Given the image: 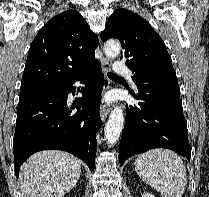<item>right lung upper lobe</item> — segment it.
<instances>
[{"instance_id":"cb5924a9","label":"right lung upper lobe","mask_w":209,"mask_h":197,"mask_svg":"<svg viewBox=\"0 0 209 197\" xmlns=\"http://www.w3.org/2000/svg\"><path fill=\"white\" fill-rule=\"evenodd\" d=\"M98 37L77 11L67 10L48 21L33 40L21 89L58 87L97 62Z\"/></svg>"}]
</instances>
